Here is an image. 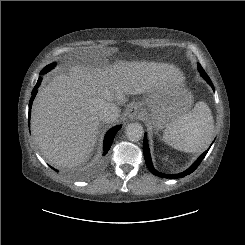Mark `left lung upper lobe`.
I'll list each match as a JSON object with an SVG mask.
<instances>
[{"instance_id":"5c2ea615","label":"left lung upper lobe","mask_w":245,"mask_h":245,"mask_svg":"<svg viewBox=\"0 0 245 245\" xmlns=\"http://www.w3.org/2000/svg\"><path fill=\"white\" fill-rule=\"evenodd\" d=\"M198 69H199L200 73H201L202 71H204L200 64H198Z\"/></svg>"}]
</instances>
